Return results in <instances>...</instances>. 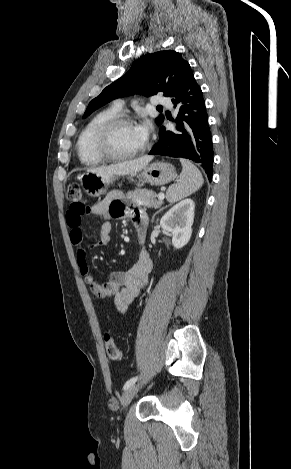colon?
I'll list each match as a JSON object with an SVG mask.
<instances>
[{"mask_svg": "<svg viewBox=\"0 0 291 469\" xmlns=\"http://www.w3.org/2000/svg\"><path fill=\"white\" fill-rule=\"evenodd\" d=\"M67 199L78 213L87 215L89 208L82 204V190L78 184H71L67 189ZM105 348L107 355L112 360L121 359V351L110 333H105Z\"/></svg>", "mask_w": 291, "mask_h": 469, "instance_id": "5ec220e1", "label": "colon"}]
</instances>
